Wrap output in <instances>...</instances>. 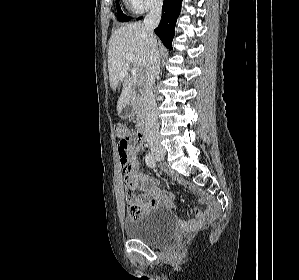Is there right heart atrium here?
<instances>
[{"mask_svg":"<svg viewBox=\"0 0 299 280\" xmlns=\"http://www.w3.org/2000/svg\"><path fill=\"white\" fill-rule=\"evenodd\" d=\"M132 10L137 13H144L152 8L161 5L162 0H127Z\"/></svg>","mask_w":299,"mask_h":280,"instance_id":"obj_1","label":"right heart atrium"}]
</instances>
